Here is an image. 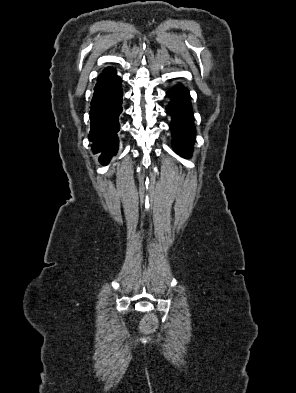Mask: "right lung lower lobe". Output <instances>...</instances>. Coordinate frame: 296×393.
<instances>
[{"label":"right lung lower lobe","instance_id":"98d812e1","mask_svg":"<svg viewBox=\"0 0 296 393\" xmlns=\"http://www.w3.org/2000/svg\"><path fill=\"white\" fill-rule=\"evenodd\" d=\"M121 112V79L115 69L107 67L97 79L89 112V139L92 141L94 153L102 151L99 157L102 165H107L117 152V132L120 129L118 117Z\"/></svg>","mask_w":296,"mask_h":393}]
</instances>
